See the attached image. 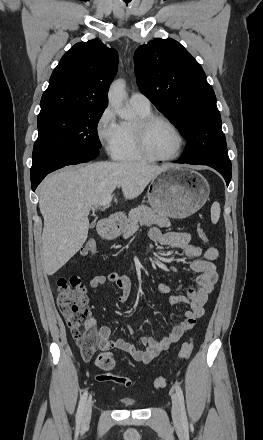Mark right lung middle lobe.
I'll list each match as a JSON object with an SVG mask.
<instances>
[{"instance_id":"dd1d6c3e","label":"right lung middle lobe","mask_w":263,"mask_h":440,"mask_svg":"<svg viewBox=\"0 0 263 440\" xmlns=\"http://www.w3.org/2000/svg\"><path fill=\"white\" fill-rule=\"evenodd\" d=\"M105 109L51 110L38 115L31 179L57 164L81 163L87 151L99 150L97 124Z\"/></svg>"}]
</instances>
